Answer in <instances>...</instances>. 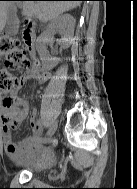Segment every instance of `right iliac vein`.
Masks as SVG:
<instances>
[{"mask_svg": "<svg viewBox=\"0 0 137 189\" xmlns=\"http://www.w3.org/2000/svg\"><path fill=\"white\" fill-rule=\"evenodd\" d=\"M57 129V124L56 123H53L47 133V136L43 139L42 143L43 144H46L52 137V135L55 133Z\"/></svg>", "mask_w": 137, "mask_h": 189, "instance_id": "right-iliac-vein-1", "label": "right iliac vein"}]
</instances>
